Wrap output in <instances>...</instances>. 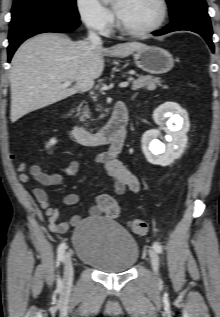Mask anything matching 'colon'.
Listing matches in <instances>:
<instances>
[{
	"mask_svg": "<svg viewBox=\"0 0 220 317\" xmlns=\"http://www.w3.org/2000/svg\"><path fill=\"white\" fill-rule=\"evenodd\" d=\"M103 212V214L108 218H117L120 214V207L117 201L112 197L106 198L103 202ZM129 227L133 233L138 235H145L148 231L147 223L141 219L130 220Z\"/></svg>",
	"mask_w": 220,
	"mask_h": 317,
	"instance_id": "5ec220e1",
	"label": "colon"
}]
</instances>
